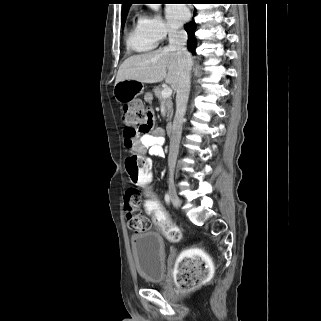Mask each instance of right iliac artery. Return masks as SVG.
<instances>
[{
  "mask_svg": "<svg viewBox=\"0 0 321 321\" xmlns=\"http://www.w3.org/2000/svg\"><path fill=\"white\" fill-rule=\"evenodd\" d=\"M165 201H166L167 204L170 203V196H169L168 193L165 194Z\"/></svg>",
  "mask_w": 321,
  "mask_h": 321,
  "instance_id": "right-iliac-artery-1",
  "label": "right iliac artery"
}]
</instances>
